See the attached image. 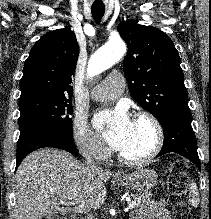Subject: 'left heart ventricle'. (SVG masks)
I'll return each instance as SVG.
<instances>
[{
  "instance_id": "left-heart-ventricle-1",
  "label": "left heart ventricle",
  "mask_w": 211,
  "mask_h": 219,
  "mask_svg": "<svg viewBox=\"0 0 211 219\" xmlns=\"http://www.w3.org/2000/svg\"><path fill=\"white\" fill-rule=\"evenodd\" d=\"M153 142L152 127L145 121H134L132 134L120 152L129 157H138L148 152Z\"/></svg>"
}]
</instances>
